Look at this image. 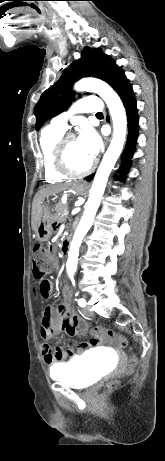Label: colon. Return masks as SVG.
I'll use <instances>...</instances> for the list:
<instances>
[{
	"mask_svg": "<svg viewBox=\"0 0 165 461\" xmlns=\"http://www.w3.org/2000/svg\"><path fill=\"white\" fill-rule=\"evenodd\" d=\"M52 267H53V262L50 258L48 249L41 244L35 245L33 249V271H32L33 277L35 279H41L46 273L51 271ZM93 336H102V339H108L122 348L126 347L127 345V341L125 337L116 334L112 330L95 328L93 330ZM135 364H136V357L135 355H132L129 359L128 371H131L133 367L135 366ZM116 385H117V381L113 380V381H110L107 386L108 388H113Z\"/></svg>",
	"mask_w": 165,
	"mask_h": 461,
	"instance_id": "5ec220e1",
	"label": "colon"
}]
</instances>
